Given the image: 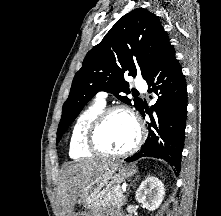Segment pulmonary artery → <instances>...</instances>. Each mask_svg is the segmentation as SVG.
I'll return each instance as SVG.
<instances>
[{"label":"pulmonary artery","mask_w":221,"mask_h":216,"mask_svg":"<svg viewBox=\"0 0 221 216\" xmlns=\"http://www.w3.org/2000/svg\"><path fill=\"white\" fill-rule=\"evenodd\" d=\"M135 85L138 89H141V90L146 89V83L142 79L136 80ZM105 100H106V93L105 92H100L97 94V101L105 103Z\"/></svg>","instance_id":"e3ab8cb5"}]
</instances>
